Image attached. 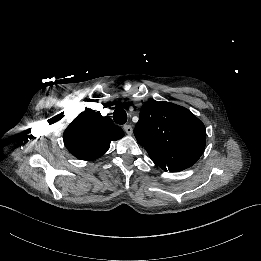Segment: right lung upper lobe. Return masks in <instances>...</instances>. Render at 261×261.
Listing matches in <instances>:
<instances>
[{"mask_svg": "<svg viewBox=\"0 0 261 261\" xmlns=\"http://www.w3.org/2000/svg\"><path fill=\"white\" fill-rule=\"evenodd\" d=\"M124 136L123 130L100 112L87 110L76 117L63 134L66 148L76 158L92 161L102 156L111 141Z\"/></svg>", "mask_w": 261, "mask_h": 261, "instance_id": "right-lung-upper-lobe-1", "label": "right lung upper lobe"}]
</instances>
